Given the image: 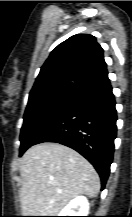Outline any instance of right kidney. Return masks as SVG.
Here are the masks:
<instances>
[{
  "label": "right kidney",
  "mask_w": 132,
  "mask_h": 217,
  "mask_svg": "<svg viewBox=\"0 0 132 217\" xmlns=\"http://www.w3.org/2000/svg\"><path fill=\"white\" fill-rule=\"evenodd\" d=\"M89 202L86 197L78 196L71 200L58 216H88Z\"/></svg>",
  "instance_id": "1"
}]
</instances>
